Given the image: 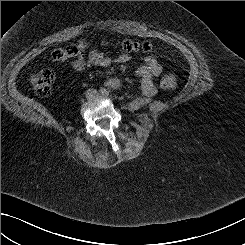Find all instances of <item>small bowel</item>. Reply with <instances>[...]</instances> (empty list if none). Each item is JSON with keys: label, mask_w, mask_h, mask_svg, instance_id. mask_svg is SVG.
Returning <instances> with one entry per match:
<instances>
[{"label": "small bowel", "mask_w": 245, "mask_h": 245, "mask_svg": "<svg viewBox=\"0 0 245 245\" xmlns=\"http://www.w3.org/2000/svg\"><path fill=\"white\" fill-rule=\"evenodd\" d=\"M74 49V54L64 53L53 60L56 63L67 64L74 71L80 72L90 66L109 67L112 63L124 64L132 58L131 54L125 51L112 58L87 40H80L74 45ZM162 69L161 63L154 56L150 55L145 57L144 64L137 68L135 74L140 80V90L145 97L149 98L157 94L154 78L162 73ZM105 84L112 89L123 87V81L118 77H111Z\"/></svg>", "instance_id": "c3829d8e"}]
</instances>
